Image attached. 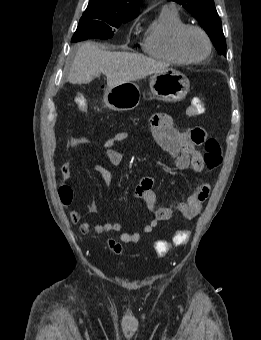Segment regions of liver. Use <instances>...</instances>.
Here are the masks:
<instances>
[{
    "label": "liver",
    "instance_id": "liver-1",
    "mask_svg": "<svg viewBox=\"0 0 261 340\" xmlns=\"http://www.w3.org/2000/svg\"><path fill=\"white\" fill-rule=\"evenodd\" d=\"M167 68L161 63L141 54L110 52L99 48L97 43H82L74 57L68 74L71 84H87L101 73L107 77V87L112 88Z\"/></svg>",
    "mask_w": 261,
    "mask_h": 340
}]
</instances>
